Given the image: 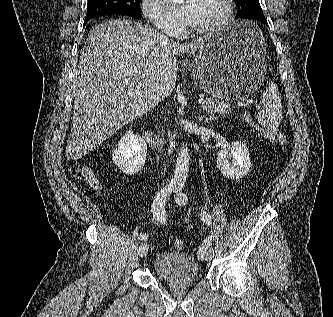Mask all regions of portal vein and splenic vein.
Listing matches in <instances>:
<instances>
[{"mask_svg":"<svg viewBox=\"0 0 333 317\" xmlns=\"http://www.w3.org/2000/svg\"><path fill=\"white\" fill-rule=\"evenodd\" d=\"M198 103H199L200 105H206V104L208 103V101L205 100L204 98H200V99L198 100ZM238 106L249 107V106H251V103H238ZM256 108H257V109H260L261 107H260V105H257Z\"/></svg>","mask_w":333,"mask_h":317,"instance_id":"portal-vein-and-splenic-vein-1","label":"portal vein and splenic vein"}]
</instances>
